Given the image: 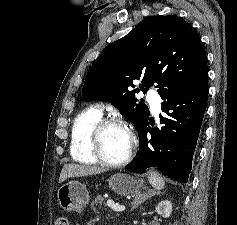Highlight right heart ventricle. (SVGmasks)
I'll use <instances>...</instances> for the list:
<instances>
[{"instance_id":"obj_1","label":"right heart ventricle","mask_w":237,"mask_h":225,"mask_svg":"<svg viewBox=\"0 0 237 225\" xmlns=\"http://www.w3.org/2000/svg\"><path fill=\"white\" fill-rule=\"evenodd\" d=\"M102 118V112L98 107H88L81 111L74 119L71 128L70 154L80 163L95 164L90 148V131L93 125Z\"/></svg>"}]
</instances>
